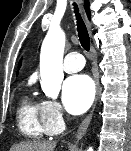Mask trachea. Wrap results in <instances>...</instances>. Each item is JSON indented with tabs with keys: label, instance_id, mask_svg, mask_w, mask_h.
<instances>
[{
	"label": "trachea",
	"instance_id": "obj_1",
	"mask_svg": "<svg viewBox=\"0 0 131 151\" xmlns=\"http://www.w3.org/2000/svg\"><path fill=\"white\" fill-rule=\"evenodd\" d=\"M74 9L76 13V19H77V30H78V36L81 43V46L86 50H90V37L87 31V28L85 26L84 21L82 20L77 5L74 3Z\"/></svg>",
	"mask_w": 131,
	"mask_h": 151
}]
</instances>
